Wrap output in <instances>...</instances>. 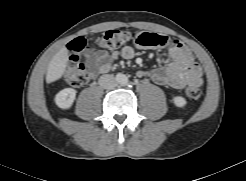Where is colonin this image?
<instances>
[{
	"label": "colon",
	"mask_w": 246,
	"mask_h": 181,
	"mask_svg": "<svg viewBox=\"0 0 246 181\" xmlns=\"http://www.w3.org/2000/svg\"><path fill=\"white\" fill-rule=\"evenodd\" d=\"M133 43L143 48L169 47L174 43V39L154 32H134L128 30L113 29L105 32L98 40V45L106 49H117L126 44ZM86 40L80 36L70 43L71 55L68 60L66 79L74 87L87 84L91 79V73L85 63H83L78 53L83 51ZM186 96L191 100L201 97L202 91L196 85H190L185 90Z\"/></svg>",
	"instance_id": "obj_1"
}]
</instances>
